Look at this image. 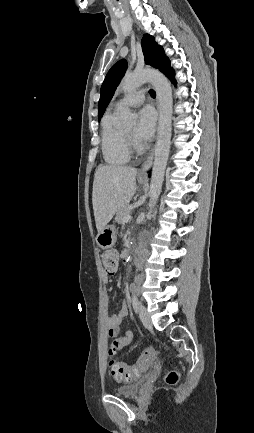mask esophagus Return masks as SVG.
<instances>
[{
    "instance_id": "1",
    "label": "esophagus",
    "mask_w": 254,
    "mask_h": 433,
    "mask_svg": "<svg viewBox=\"0 0 254 433\" xmlns=\"http://www.w3.org/2000/svg\"><path fill=\"white\" fill-rule=\"evenodd\" d=\"M157 106H158V98L156 100ZM154 147H152V149L150 150L146 160L144 161V163L141 166L140 172H139V177L140 178H147V170L150 168L151 164H152V160H153V156H154Z\"/></svg>"
}]
</instances>
